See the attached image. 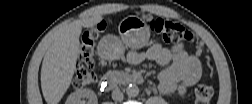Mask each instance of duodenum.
<instances>
[{"mask_svg":"<svg viewBox=\"0 0 252 104\" xmlns=\"http://www.w3.org/2000/svg\"><path fill=\"white\" fill-rule=\"evenodd\" d=\"M144 79L137 74L127 73H109L106 74L100 81V86L104 90H109L116 87L118 84H142Z\"/></svg>","mask_w":252,"mask_h":104,"instance_id":"410a0bca","label":"duodenum"}]
</instances>
